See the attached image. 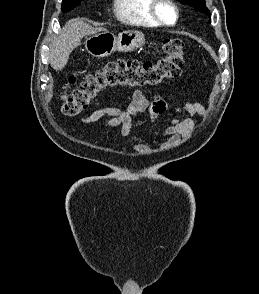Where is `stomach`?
<instances>
[{"instance_id": "0dacf381", "label": "stomach", "mask_w": 259, "mask_h": 294, "mask_svg": "<svg viewBox=\"0 0 259 294\" xmlns=\"http://www.w3.org/2000/svg\"><path fill=\"white\" fill-rule=\"evenodd\" d=\"M145 44V36L139 31H124L115 36L107 30L92 34L85 41L86 50L94 57H107L112 53L131 52Z\"/></svg>"}]
</instances>
